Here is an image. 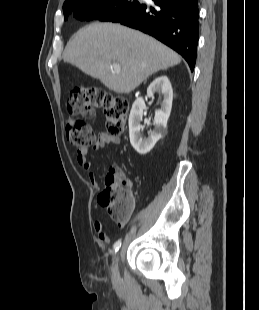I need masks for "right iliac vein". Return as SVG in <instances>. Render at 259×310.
I'll return each instance as SVG.
<instances>
[{
	"mask_svg": "<svg viewBox=\"0 0 259 310\" xmlns=\"http://www.w3.org/2000/svg\"><path fill=\"white\" fill-rule=\"evenodd\" d=\"M118 261H119V254H117L114 258L113 262V268H112V276L114 279L118 277L117 267H118Z\"/></svg>",
	"mask_w": 259,
	"mask_h": 310,
	"instance_id": "right-iliac-vein-1",
	"label": "right iliac vein"
}]
</instances>
